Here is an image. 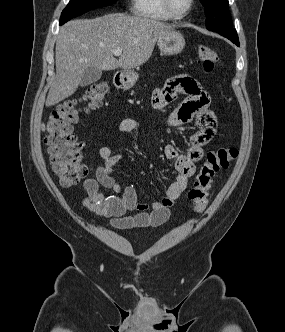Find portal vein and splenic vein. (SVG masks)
Masks as SVG:
<instances>
[{
  "mask_svg": "<svg viewBox=\"0 0 285 332\" xmlns=\"http://www.w3.org/2000/svg\"><path fill=\"white\" fill-rule=\"evenodd\" d=\"M113 54H114L115 56H120V55L122 54V50H121V49H114V50H113Z\"/></svg>",
  "mask_w": 285,
  "mask_h": 332,
  "instance_id": "portal-vein-and-splenic-vein-1",
  "label": "portal vein and splenic vein"
}]
</instances>
